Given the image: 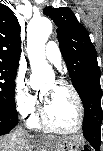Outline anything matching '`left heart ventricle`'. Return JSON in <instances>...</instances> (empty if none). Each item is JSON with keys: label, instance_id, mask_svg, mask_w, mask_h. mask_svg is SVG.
I'll list each match as a JSON object with an SVG mask.
<instances>
[{"label": "left heart ventricle", "instance_id": "obj_1", "mask_svg": "<svg viewBox=\"0 0 103 151\" xmlns=\"http://www.w3.org/2000/svg\"><path fill=\"white\" fill-rule=\"evenodd\" d=\"M41 94L47 115L56 126L71 129L78 124L77 104L68 89L50 82L42 88Z\"/></svg>", "mask_w": 103, "mask_h": 151}]
</instances>
